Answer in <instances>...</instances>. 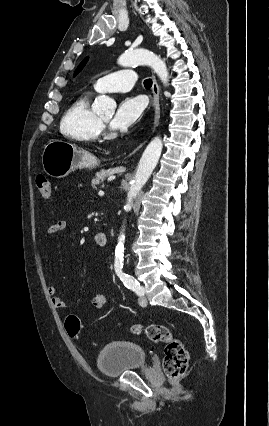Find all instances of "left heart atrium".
I'll return each mask as SVG.
<instances>
[{"mask_svg":"<svg viewBox=\"0 0 269 426\" xmlns=\"http://www.w3.org/2000/svg\"><path fill=\"white\" fill-rule=\"evenodd\" d=\"M145 102L140 97L125 98L119 104L112 120L111 127L114 130H125L134 125L142 116Z\"/></svg>","mask_w":269,"mask_h":426,"instance_id":"obj_1","label":"left heart atrium"}]
</instances>
